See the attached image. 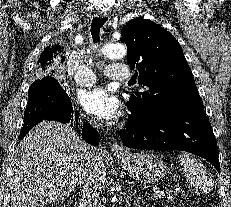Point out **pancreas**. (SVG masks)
Instances as JSON below:
<instances>
[{
    "label": "pancreas",
    "instance_id": "cf45deb5",
    "mask_svg": "<svg viewBox=\"0 0 231 207\" xmlns=\"http://www.w3.org/2000/svg\"><path fill=\"white\" fill-rule=\"evenodd\" d=\"M167 198H168L169 200H172V196H171L170 193H167Z\"/></svg>",
    "mask_w": 231,
    "mask_h": 207
}]
</instances>
